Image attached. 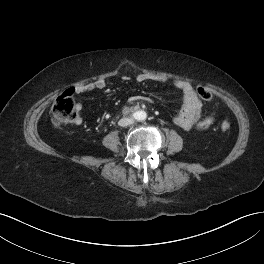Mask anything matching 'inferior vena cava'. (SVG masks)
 <instances>
[{
    "label": "inferior vena cava",
    "mask_w": 264,
    "mask_h": 264,
    "mask_svg": "<svg viewBox=\"0 0 264 264\" xmlns=\"http://www.w3.org/2000/svg\"><path fill=\"white\" fill-rule=\"evenodd\" d=\"M133 123V119L132 118H122L119 120L118 122V125L119 126H122V127H125V126H128L130 124Z\"/></svg>",
    "instance_id": "1"
}]
</instances>
